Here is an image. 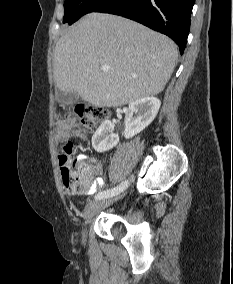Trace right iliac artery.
<instances>
[{
  "mask_svg": "<svg viewBox=\"0 0 233 284\" xmlns=\"http://www.w3.org/2000/svg\"><path fill=\"white\" fill-rule=\"evenodd\" d=\"M128 180L122 182L119 186L117 187H114L112 189H109V190H105V191H102L100 193H98L96 196H95V199H100V198H107L109 196H114L116 194H119L122 192L123 189H126L128 187Z\"/></svg>",
  "mask_w": 233,
  "mask_h": 284,
  "instance_id": "1",
  "label": "right iliac artery"
}]
</instances>
